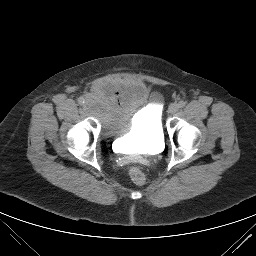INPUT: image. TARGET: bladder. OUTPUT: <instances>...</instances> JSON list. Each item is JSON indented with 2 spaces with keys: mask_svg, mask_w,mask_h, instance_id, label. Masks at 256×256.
<instances>
[{
  "mask_svg": "<svg viewBox=\"0 0 256 256\" xmlns=\"http://www.w3.org/2000/svg\"><path fill=\"white\" fill-rule=\"evenodd\" d=\"M87 105L105 136H125L128 146L144 149L164 141L160 95L141 82L103 81L89 93Z\"/></svg>",
  "mask_w": 256,
  "mask_h": 256,
  "instance_id": "obj_1",
  "label": "bladder"
}]
</instances>
